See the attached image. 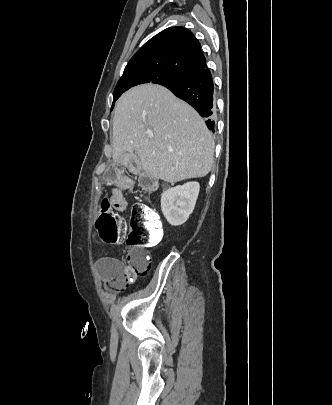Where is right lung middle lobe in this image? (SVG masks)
Here are the masks:
<instances>
[{
    "instance_id": "obj_1",
    "label": "right lung middle lobe",
    "mask_w": 332,
    "mask_h": 405,
    "mask_svg": "<svg viewBox=\"0 0 332 405\" xmlns=\"http://www.w3.org/2000/svg\"><path fill=\"white\" fill-rule=\"evenodd\" d=\"M183 78L184 77L177 74L156 70H139L123 74L115 87L111 110L114 107L115 101L121 96V94L133 86L144 83H155L166 87L177 83Z\"/></svg>"
}]
</instances>
